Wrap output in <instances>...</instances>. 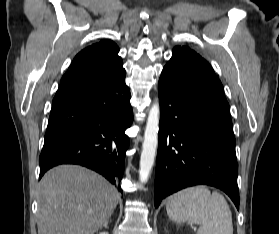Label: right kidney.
Returning a JSON list of instances; mask_svg holds the SVG:
<instances>
[{
  "instance_id": "right-kidney-1",
  "label": "right kidney",
  "mask_w": 279,
  "mask_h": 234,
  "mask_svg": "<svg viewBox=\"0 0 279 234\" xmlns=\"http://www.w3.org/2000/svg\"><path fill=\"white\" fill-rule=\"evenodd\" d=\"M99 234H109V233L104 231V232H100Z\"/></svg>"
}]
</instances>
